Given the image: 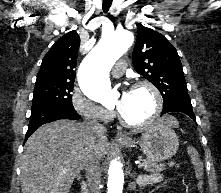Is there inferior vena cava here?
<instances>
[{"mask_svg":"<svg viewBox=\"0 0 221 193\" xmlns=\"http://www.w3.org/2000/svg\"><path fill=\"white\" fill-rule=\"evenodd\" d=\"M84 126L93 134L102 136L106 133V128L96 120H86ZM86 180L90 193H101L100 191V166L99 160L95 156L89 155L85 164Z\"/></svg>","mask_w":221,"mask_h":193,"instance_id":"obj_1","label":"inferior vena cava"}]
</instances>
